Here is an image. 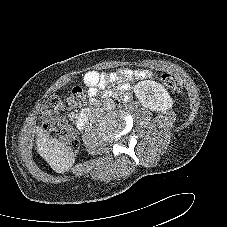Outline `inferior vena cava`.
Wrapping results in <instances>:
<instances>
[{
  "mask_svg": "<svg viewBox=\"0 0 227 227\" xmlns=\"http://www.w3.org/2000/svg\"><path fill=\"white\" fill-rule=\"evenodd\" d=\"M103 115V109L102 108H94L92 112L90 113V119L92 121H95L99 119Z\"/></svg>",
  "mask_w": 227,
  "mask_h": 227,
  "instance_id": "obj_1",
  "label": "inferior vena cava"
}]
</instances>
